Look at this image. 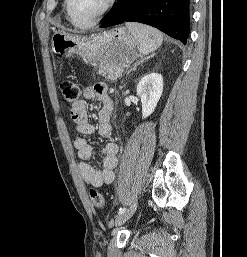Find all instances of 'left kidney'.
Instances as JSON below:
<instances>
[{"instance_id":"obj_1","label":"left kidney","mask_w":247,"mask_h":257,"mask_svg":"<svg viewBox=\"0 0 247 257\" xmlns=\"http://www.w3.org/2000/svg\"><path fill=\"white\" fill-rule=\"evenodd\" d=\"M163 77L158 73L144 76L137 85V94L142 103V118L150 116L162 95Z\"/></svg>"}]
</instances>
